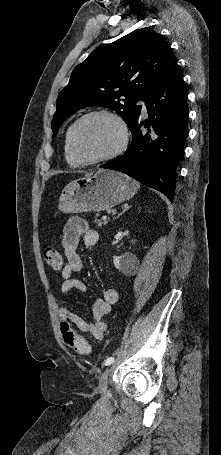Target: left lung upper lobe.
<instances>
[{"label": "left lung upper lobe", "mask_w": 221, "mask_h": 455, "mask_svg": "<svg viewBox=\"0 0 221 455\" xmlns=\"http://www.w3.org/2000/svg\"><path fill=\"white\" fill-rule=\"evenodd\" d=\"M175 63L167 42L150 28L98 47L74 68L59 93L53 137L70 115L88 106L115 110L131 128L141 111L137 102L145 101Z\"/></svg>", "instance_id": "obj_1"}]
</instances>
